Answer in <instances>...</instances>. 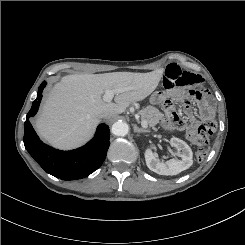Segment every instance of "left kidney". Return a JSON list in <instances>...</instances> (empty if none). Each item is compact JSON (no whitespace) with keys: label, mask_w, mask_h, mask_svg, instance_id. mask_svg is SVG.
<instances>
[{"label":"left kidney","mask_w":245,"mask_h":245,"mask_svg":"<svg viewBox=\"0 0 245 245\" xmlns=\"http://www.w3.org/2000/svg\"><path fill=\"white\" fill-rule=\"evenodd\" d=\"M170 145L177 150L180 160L170 159L165 163L160 162L157 156L153 154L151 148L145 150L146 165L151 171L160 175H177L191 167L193 164V153L188 144L179 138L173 137L170 139Z\"/></svg>","instance_id":"obj_1"}]
</instances>
